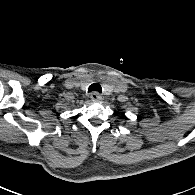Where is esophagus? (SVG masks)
I'll return each mask as SVG.
<instances>
[{"instance_id":"esophagus-1","label":"esophagus","mask_w":195,"mask_h":195,"mask_svg":"<svg viewBox=\"0 0 195 195\" xmlns=\"http://www.w3.org/2000/svg\"><path fill=\"white\" fill-rule=\"evenodd\" d=\"M90 98H91L92 101H96V102H99V101L103 100V97L97 92L91 93Z\"/></svg>"}]
</instances>
